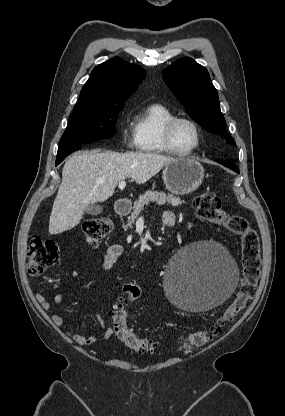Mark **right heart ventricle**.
Instances as JSON below:
<instances>
[{"instance_id":"obj_1","label":"right heart ventricle","mask_w":285,"mask_h":416,"mask_svg":"<svg viewBox=\"0 0 285 416\" xmlns=\"http://www.w3.org/2000/svg\"><path fill=\"white\" fill-rule=\"evenodd\" d=\"M174 112L162 102H152L135 117L137 149L149 154L169 153L163 140V128Z\"/></svg>"}]
</instances>
